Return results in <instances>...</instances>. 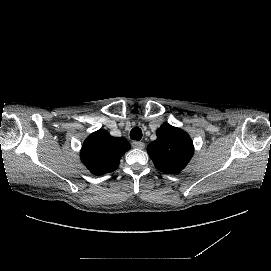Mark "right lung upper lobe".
<instances>
[{"mask_svg": "<svg viewBox=\"0 0 271 271\" xmlns=\"http://www.w3.org/2000/svg\"><path fill=\"white\" fill-rule=\"evenodd\" d=\"M130 149L123 137H113L105 130L90 134L85 140L80 157L86 168L96 174L104 175L115 171L122 155Z\"/></svg>", "mask_w": 271, "mask_h": 271, "instance_id": "right-lung-upper-lobe-1", "label": "right lung upper lobe"}]
</instances>
